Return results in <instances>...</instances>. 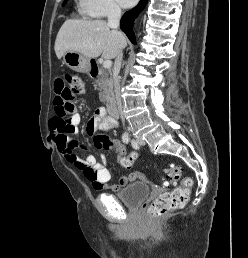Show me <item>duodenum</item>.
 <instances>
[{
  "mask_svg": "<svg viewBox=\"0 0 248 258\" xmlns=\"http://www.w3.org/2000/svg\"><path fill=\"white\" fill-rule=\"evenodd\" d=\"M106 108L107 111L112 119H115L117 117V111H116V105L112 98L108 99L106 101Z\"/></svg>",
  "mask_w": 248,
  "mask_h": 258,
  "instance_id": "410a0bca",
  "label": "duodenum"
}]
</instances>
